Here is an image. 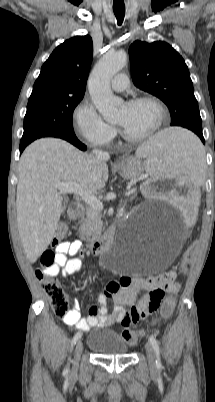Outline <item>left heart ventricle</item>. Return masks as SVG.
Segmentation results:
<instances>
[{
  "instance_id": "1",
  "label": "left heart ventricle",
  "mask_w": 215,
  "mask_h": 402,
  "mask_svg": "<svg viewBox=\"0 0 215 402\" xmlns=\"http://www.w3.org/2000/svg\"><path fill=\"white\" fill-rule=\"evenodd\" d=\"M157 117V110L151 103L123 104L116 117V123L127 134L140 136L149 132L155 126Z\"/></svg>"
}]
</instances>
